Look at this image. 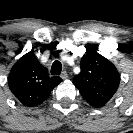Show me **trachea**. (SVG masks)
Segmentation results:
<instances>
[{
	"label": "trachea",
	"instance_id": "obj_1",
	"mask_svg": "<svg viewBox=\"0 0 133 133\" xmlns=\"http://www.w3.org/2000/svg\"><path fill=\"white\" fill-rule=\"evenodd\" d=\"M62 71V65L59 61H54L51 67V74L52 75H60Z\"/></svg>",
	"mask_w": 133,
	"mask_h": 133
}]
</instances>
